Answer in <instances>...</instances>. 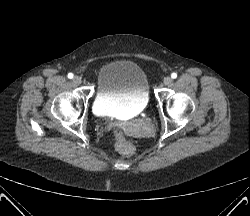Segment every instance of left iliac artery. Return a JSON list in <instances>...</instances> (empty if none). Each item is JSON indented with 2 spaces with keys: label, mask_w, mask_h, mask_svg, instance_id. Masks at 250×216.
<instances>
[{
  "label": "left iliac artery",
  "mask_w": 250,
  "mask_h": 216,
  "mask_svg": "<svg viewBox=\"0 0 250 216\" xmlns=\"http://www.w3.org/2000/svg\"><path fill=\"white\" fill-rule=\"evenodd\" d=\"M171 77H172L173 79H175V78H177V74H176V73H172V74H171Z\"/></svg>",
  "instance_id": "44dca946"
}]
</instances>
